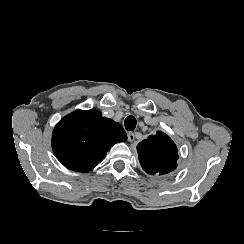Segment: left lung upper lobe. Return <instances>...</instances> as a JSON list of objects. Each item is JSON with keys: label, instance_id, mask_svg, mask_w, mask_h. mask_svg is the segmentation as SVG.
<instances>
[{"label": "left lung upper lobe", "instance_id": "left-lung-upper-lobe-1", "mask_svg": "<svg viewBox=\"0 0 244 244\" xmlns=\"http://www.w3.org/2000/svg\"><path fill=\"white\" fill-rule=\"evenodd\" d=\"M137 151L140 164L148 174L164 175L177 166V146L161 131L140 142Z\"/></svg>", "mask_w": 244, "mask_h": 244}]
</instances>
